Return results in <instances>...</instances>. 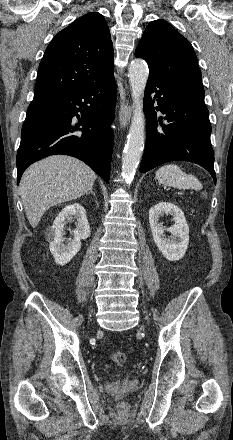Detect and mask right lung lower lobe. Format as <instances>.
Here are the masks:
<instances>
[{"mask_svg":"<svg viewBox=\"0 0 233 440\" xmlns=\"http://www.w3.org/2000/svg\"><path fill=\"white\" fill-rule=\"evenodd\" d=\"M115 104L113 74L87 87L34 96L22 127L17 183L29 165L53 154L79 158L109 182Z\"/></svg>","mask_w":233,"mask_h":440,"instance_id":"1","label":"right lung lower lobe"}]
</instances>
